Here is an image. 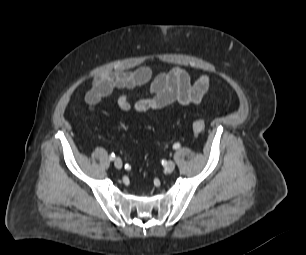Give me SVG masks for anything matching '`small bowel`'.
<instances>
[{
	"label": "small bowel",
	"mask_w": 306,
	"mask_h": 255,
	"mask_svg": "<svg viewBox=\"0 0 306 255\" xmlns=\"http://www.w3.org/2000/svg\"><path fill=\"white\" fill-rule=\"evenodd\" d=\"M149 83V94L132 103L126 94L117 99L119 109L125 113L132 111L143 115L150 110H171L176 105L186 106L201 102L206 96L210 79L202 75L192 80L182 68H173L153 77L149 66L130 71H110L95 76L86 95V103L91 112L95 111L102 98L115 90H131Z\"/></svg>",
	"instance_id": "small-bowel-1"
}]
</instances>
